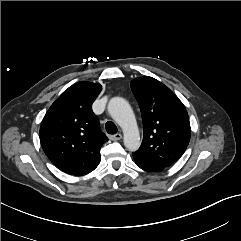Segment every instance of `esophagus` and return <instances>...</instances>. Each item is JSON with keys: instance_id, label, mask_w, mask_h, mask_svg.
<instances>
[{"instance_id": "34e87169", "label": "esophagus", "mask_w": 241, "mask_h": 241, "mask_svg": "<svg viewBox=\"0 0 241 241\" xmlns=\"http://www.w3.org/2000/svg\"><path fill=\"white\" fill-rule=\"evenodd\" d=\"M109 139H111L113 141H118V140L122 139V135L120 133L115 134V135H110Z\"/></svg>"}]
</instances>
